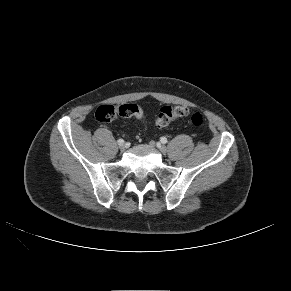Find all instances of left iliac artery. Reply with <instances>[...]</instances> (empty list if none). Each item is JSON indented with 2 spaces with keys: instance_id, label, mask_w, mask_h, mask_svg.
<instances>
[{
  "instance_id": "1",
  "label": "left iliac artery",
  "mask_w": 291,
  "mask_h": 291,
  "mask_svg": "<svg viewBox=\"0 0 291 291\" xmlns=\"http://www.w3.org/2000/svg\"><path fill=\"white\" fill-rule=\"evenodd\" d=\"M160 141H161V143L166 144L167 143V138L161 137Z\"/></svg>"
}]
</instances>
